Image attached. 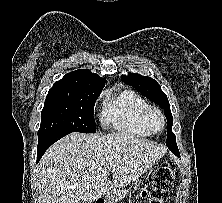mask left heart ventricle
I'll return each mask as SVG.
<instances>
[{
	"label": "left heart ventricle",
	"mask_w": 222,
	"mask_h": 203,
	"mask_svg": "<svg viewBox=\"0 0 222 203\" xmlns=\"http://www.w3.org/2000/svg\"><path fill=\"white\" fill-rule=\"evenodd\" d=\"M149 120H150V124H151V126H152V128H153L154 130L158 131V130L161 129V127H162V122H161L160 117H159L157 114L152 113V114L150 115V119H149Z\"/></svg>",
	"instance_id": "1"
}]
</instances>
